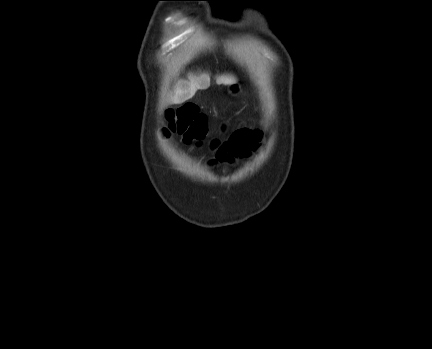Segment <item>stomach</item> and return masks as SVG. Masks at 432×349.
<instances>
[{
    "label": "stomach",
    "mask_w": 432,
    "mask_h": 349,
    "mask_svg": "<svg viewBox=\"0 0 432 349\" xmlns=\"http://www.w3.org/2000/svg\"><path fill=\"white\" fill-rule=\"evenodd\" d=\"M229 91L232 94H236L239 91V85L237 83L229 85Z\"/></svg>",
    "instance_id": "stomach-1"
}]
</instances>
